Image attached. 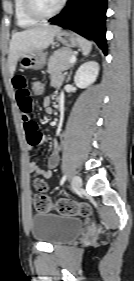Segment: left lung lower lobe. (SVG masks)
<instances>
[{
    "mask_svg": "<svg viewBox=\"0 0 134 281\" xmlns=\"http://www.w3.org/2000/svg\"><path fill=\"white\" fill-rule=\"evenodd\" d=\"M106 10L107 0H69L66 9L49 22L90 37L106 55Z\"/></svg>",
    "mask_w": 134,
    "mask_h": 281,
    "instance_id": "left-lung-lower-lobe-1",
    "label": "left lung lower lobe"
}]
</instances>
